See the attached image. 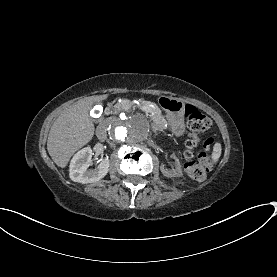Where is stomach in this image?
Masks as SVG:
<instances>
[{
    "instance_id": "1",
    "label": "stomach",
    "mask_w": 277,
    "mask_h": 277,
    "mask_svg": "<svg viewBox=\"0 0 277 277\" xmlns=\"http://www.w3.org/2000/svg\"><path fill=\"white\" fill-rule=\"evenodd\" d=\"M159 105L165 111L170 126L174 129H182L184 124L185 103L178 98L161 96Z\"/></svg>"
}]
</instances>
